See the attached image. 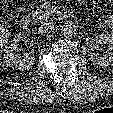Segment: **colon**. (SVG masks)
<instances>
[{
	"instance_id": "obj_1",
	"label": "colon",
	"mask_w": 113,
	"mask_h": 113,
	"mask_svg": "<svg viewBox=\"0 0 113 113\" xmlns=\"http://www.w3.org/2000/svg\"><path fill=\"white\" fill-rule=\"evenodd\" d=\"M7 42L8 32L0 22V51L6 46Z\"/></svg>"
}]
</instances>
